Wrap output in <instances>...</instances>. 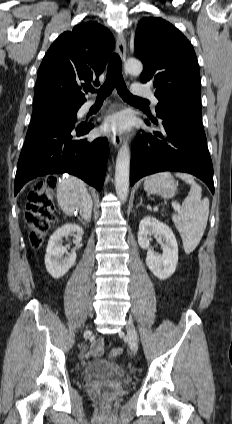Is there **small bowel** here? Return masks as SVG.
I'll return each instance as SVG.
<instances>
[{
    "label": "small bowel",
    "instance_id": "small-bowel-1",
    "mask_svg": "<svg viewBox=\"0 0 232 424\" xmlns=\"http://www.w3.org/2000/svg\"><path fill=\"white\" fill-rule=\"evenodd\" d=\"M89 352L93 356H98V355L102 354V352H103V340L99 338L96 341H94L93 344L90 347Z\"/></svg>",
    "mask_w": 232,
    "mask_h": 424
}]
</instances>
